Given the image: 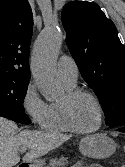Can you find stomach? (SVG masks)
Instances as JSON below:
<instances>
[{"mask_svg": "<svg viewBox=\"0 0 125 167\" xmlns=\"http://www.w3.org/2000/svg\"><path fill=\"white\" fill-rule=\"evenodd\" d=\"M79 150L86 157L104 159L115 152L116 144L104 134H94L86 136L80 141ZM44 163V159H36L29 162L28 167H43Z\"/></svg>", "mask_w": 125, "mask_h": 167, "instance_id": "stomach-1", "label": "stomach"}]
</instances>
